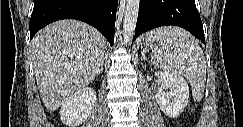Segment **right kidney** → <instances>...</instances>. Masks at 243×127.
Segmentation results:
<instances>
[{"label": "right kidney", "instance_id": "1", "mask_svg": "<svg viewBox=\"0 0 243 127\" xmlns=\"http://www.w3.org/2000/svg\"><path fill=\"white\" fill-rule=\"evenodd\" d=\"M96 92L86 87L75 92L62 104L61 121L69 127H77L88 118L96 102Z\"/></svg>", "mask_w": 243, "mask_h": 127}]
</instances>
